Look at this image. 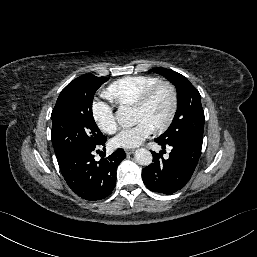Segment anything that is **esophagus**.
Returning <instances> with one entry per match:
<instances>
[{"label": "esophagus", "instance_id": "obj_1", "mask_svg": "<svg viewBox=\"0 0 257 257\" xmlns=\"http://www.w3.org/2000/svg\"><path fill=\"white\" fill-rule=\"evenodd\" d=\"M125 152H126L127 155H131V154H133L134 150H132V149H125Z\"/></svg>", "mask_w": 257, "mask_h": 257}]
</instances>
